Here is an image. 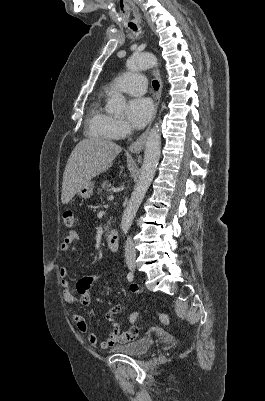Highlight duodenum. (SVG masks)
Instances as JSON below:
<instances>
[{"instance_id": "410a0bca", "label": "duodenum", "mask_w": 265, "mask_h": 401, "mask_svg": "<svg viewBox=\"0 0 265 401\" xmlns=\"http://www.w3.org/2000/svg\"><path fill=\"white\" fill-rule=\"evenodd\" d=\"M107 246L111 251H116L119 245V237L116 231H111L106 239Z\"/></svg>"}]
</instances>
